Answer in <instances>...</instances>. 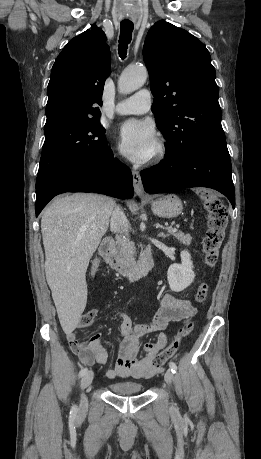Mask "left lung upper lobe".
Here are the masks:
<instances>
[{"label": "left lung upper lobe", "instance_id": "obj_1", "mask_svg": "<svg viewBox=\"0 0 261 459\" xmlns=\"http://www.w3.org/2000/svg\"><path fill=\"white\" fill-rule=\"evenodd\" d=\"M143 56L166 155L182 158L200 146L226 142L216 73L205 45L162 20L148 31Z\"/></svg>", "mask_w": 261, "mask_h": 459}]
</instances>
